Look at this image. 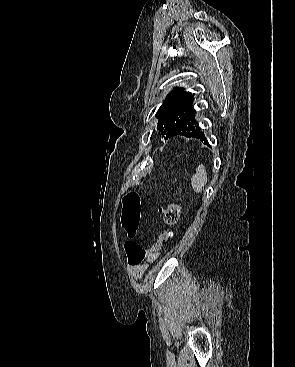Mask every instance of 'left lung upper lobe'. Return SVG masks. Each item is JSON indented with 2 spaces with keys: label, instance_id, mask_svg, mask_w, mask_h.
Returning a JSON list of instances; mask_svg holds the SVG:
<instances>
[{
  "label": "left lung upper lobe",
  "instance_id": "left-lung-upper-lobe-1",
  "mask_svg": "<svg viewBox=\"0 0 295 367\" xmlns=\"http://www.w3.org/2000/svg\"><path fill=\"white\" fill-rule=\"evenodd\" d=\"M194 95L183 88H174L166 97L156 113L159 119L157 129L164 139L172 136L173 131L193 108Z\"/></svg>",
  "mask_w": 295,
  "mask_h": 367
}]
</instances>
